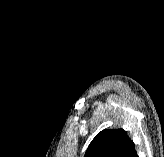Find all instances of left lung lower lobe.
I'll use <instances>...</instances> for the list:
<instances>
[{
    "label": "left lung lower lobe",
    "instance_id": "0a47b994",
    "mask_svg": "<svg viewBox=\"0 0 164 157\" xmlns=\"http://www.w3.org/2000/svg\"><path fill=\"white\" fill-rule=\"evenodd\" d=\"M128 157H138L136 151H135V147L133 148V150L130 152Z\"/></svg>",
    "mask_w": 164,
    "mask_h": 157
}]
</instances>
